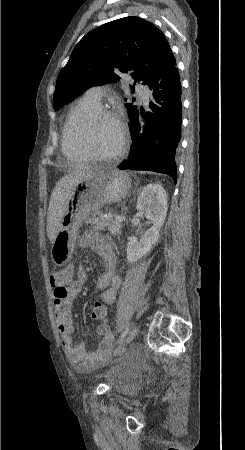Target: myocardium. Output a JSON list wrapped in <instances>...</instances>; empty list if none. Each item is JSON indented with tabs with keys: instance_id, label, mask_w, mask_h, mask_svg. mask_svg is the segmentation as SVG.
<instances>
[{
	"instance_id": "obj_1",
	"label": "myocardium",
	"mask_w": 245,
	"mask_h": 450,
	"mask_svg": "<svg viewBox=\"0 0 245 450\" xmlns=\"http://www.w3.org/2000/svg\"><path fill=\"white\" fill-rule=\"evenodd\" d=\"M104 119L114 121L119 125L121 141L119 147L114 152L106 155H100L92 149L88 141V136L95 124ZM82 123L85 127V136H82L77 131L76 126L74 127L73 134L75 143L88 156L89 159L94 161L107 162L118 159L124 155L128 146L129 137L127 126L119 115L112 111L99 108L90 113L86 118H84Z\"/></svg>"
}]
</instances>
